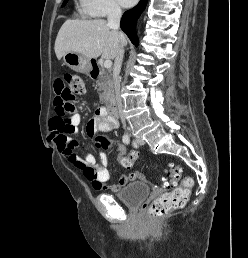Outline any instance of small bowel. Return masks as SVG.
I'll list each match as a JSON object with an SVG mask.
<instances>
[{"label":"small bowel","instance_id":"obj_1","mask_svg":"<svg viewBox=\"0 0 248 258\" xmlns=\"http://www.w3.org/2000/svg\"><path fill=\"white\" fill-rule=\"evenodd\" d=\"M54 92L56 94L54 99L55 106H57L61 98L69 95V91L65 88L62 79L55 80ZM80 121V115L78 113H75L71 117V124L73 129L67 133L58 130L51 123L50 136L56 143L58 151L67 162L82 170L83 173L86 169H92L94 171L95 176H90L87 179L91 181L95 189H109L111 191H119L127 183L139 177V174L137 172H131L129 174L122 175L118 184L108 185L107 182L110 179V173L106 166V154L100 153V162H96L95 158L89 153H85L83 156H80L76 153V150L80 147V145L77 141L73 140L69 136V133L77 131ZM116 127V121L107 116L106 111L103 107L98 106L95 110L94 117L90 119L87 123L86 131L89 138L92 139L98 131L107 132Z\"/></svg>","mask_w":248,"mask_h":258}]
</instances>
